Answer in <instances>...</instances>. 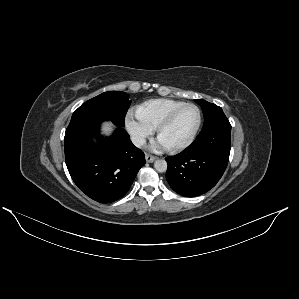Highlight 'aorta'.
Instances as JSON below:
<instances>
[{
    "mask_svg": "<svg viewBox=\"0 0 299 299\" xmlns=\"http://www.w3.org/2000/svg\"><path fill=\"white\" fill-rule=\"evenodd\" d=\"M154 168L158 172H165L167 170V162L162 159H158L154 162Z\"/></svg>",
    "mask_w": 299,
    "mask_h": 299,
    "instance_id": "aorta-1",
    "label": "aorta"
}]
</instances>
